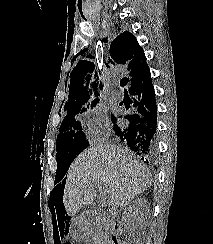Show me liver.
<instances>
[{
  "label": "liver",
  "instance_id": "1",
  "mask_svg": "<svg viewBox=\"0 0 213 244\" xmlns=\"http://www.w3.org/2000/svg\"><path fill=\"white\" fill-rule=\"evenodd\" d=\"M97 183L103 184L109 205L117 209L149 188L152 177L119 147L100 144L89 148L77 156L67 174L63 204L69 216H75L82 205L93 204Z\"/></svg>",
  "mask_w": 213,
  "mask_h": 244
}]
</instances>
